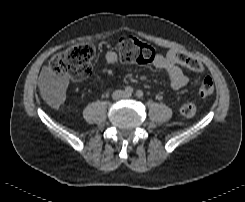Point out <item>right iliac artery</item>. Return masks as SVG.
Listing matches in <instances>:
<instances>
[{"label": "right iliac artery", "mask_w": 245, "mask_h": 202, "mask_svg": "<svg viewBox=\"0 0 245 202\" xmlns=\"http://www.w3.org/2000/svg\"><path fill=\"white\" fill-rule=\"evenodd\" d=\"M125 93L131 95L133 93V88L131 86H127L125 88Z\"/></svg>", "instance_id": "82829eb1"}]
</instances>
